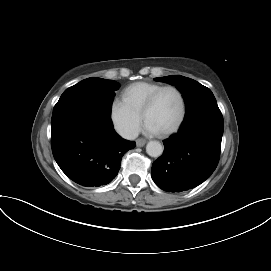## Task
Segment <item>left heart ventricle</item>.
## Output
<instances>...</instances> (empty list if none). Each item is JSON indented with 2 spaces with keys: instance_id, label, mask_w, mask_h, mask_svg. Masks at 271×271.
<instances>
[{
  "instance_id": "1",
  "label": "left heart ventricle",
  "mask_w": 271,
  "mask_h": 271,
  "mask_svg": "<svg viewBox=\"0 0 271 271\" xmlns=\"http://www.w3.org/2000/svg\"><path fill=\"white\" fill-rule=\"evenodd\" d=\"M180 114V100L173 90H166L160 94L155 105L147 114L146 121L155 126L159 132L171 128Z\"/></svg>"
}]
</instances>
